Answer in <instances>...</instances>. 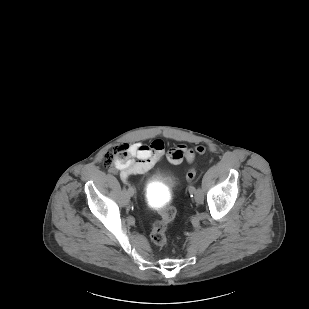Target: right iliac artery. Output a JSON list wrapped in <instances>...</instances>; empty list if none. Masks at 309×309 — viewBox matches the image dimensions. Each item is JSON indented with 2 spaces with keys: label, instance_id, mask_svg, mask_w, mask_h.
I'll return each mask as SVG.
<instances>
[{
  "label": "right iliac artery",
  "instance_id": "1",
  "mask_svg": "<svg viewBox=\"0 0 309 309\" xmlns=\"http://www.w3.org/2000/svg\"><path fill=\"white\" fill-rule=\"evenodd\" d=\"M130 180V179H129ZM127 194L128 195H133L134 194V185L133 184H128V189H127Z\"/></svg>",
  "mask_w": 309,
  "mask_h": 309
}]
</instances>
